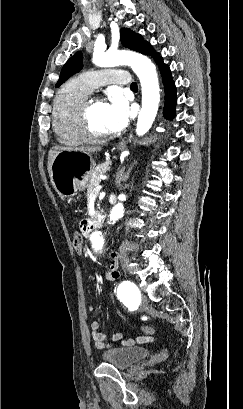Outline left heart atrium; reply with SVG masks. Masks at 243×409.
Listing matches in <instances>:
<instances>
[{"instance_id":"39dd6f15","label":"left heart atrium","mask_w":243,"mask_h":409,"mask_svg":"<svg viewBox=\"0 0 243 409\" xmlns=\"http://www.w3.org/2000/svg\"><path fill=\"white\" fill-rule=\"evenodd\" d=\"M129 111L127 103L120 96H113L105 108V125L107 133L122 130L128 123Z\"/></svg>"}]
</instances>
